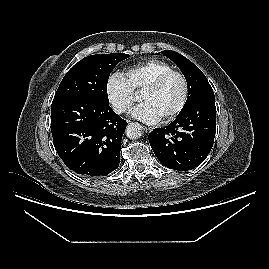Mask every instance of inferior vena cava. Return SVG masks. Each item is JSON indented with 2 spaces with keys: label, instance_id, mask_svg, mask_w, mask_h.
<instances>
[{
  "label": "inferior vena cava",
  "instance_id": "inferior-vena-cava-1",
  "mask_svg": "<svg viewBox=\"0 0 269 269\" xmlns=\"http://www.w3.org/2000/svg\"><path fill=\"white\" fill-rule=\"evenodd\" d=\"M113 109L117 114H121L126 110V105H124V104H116V105L113 106Z\"/></svg>",
  "mask_w": 269,
  "mask_h": 269
}]
</instances>
